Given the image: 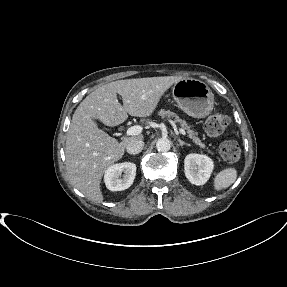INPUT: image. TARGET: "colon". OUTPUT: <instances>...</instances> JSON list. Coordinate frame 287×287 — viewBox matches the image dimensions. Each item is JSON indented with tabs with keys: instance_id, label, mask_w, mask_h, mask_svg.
Wrapping results in <instances>:
<instances>
[{
	"instance_id": "colon-1",
	"label": "colon",
	"mask_w": 287,
	"mask_h": 287,
	"mask_svg": "<svg viewBox=\"0 0 287 287\" xmlns=\"http://www.w3.org/2000/svg\"><path fill=\"white\" fill-rule=\"evenodd\" d=\"M230 124V118L224 112H217L211 115L205 122L204 130L209 137H218ZM222 159L228 163L237 162L241 151L238 143L234 140L223 142L219 147Z\"/></svg>"
}]
</instances>
